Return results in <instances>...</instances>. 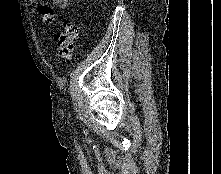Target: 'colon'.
I'll use <instances>...</instances> for the list:
<instances>
[{
    "mask_svg": "<svg viewBox=\"0 0 221 174\" xmlns=\"http://www.w3.org/2000/svg\"><path fill=\"white\" fill-rule=\"evenodd\" d=\"M78 37V27L75 23L67 21L63 30L57 34L58 42L57 54L61 58H69L76 50V39Z\"/></svg>",
    "mask_w": 221,
    "mask_h": 174,
    "instance_id": "1",
    "label": "colon"
}]
</instances>
